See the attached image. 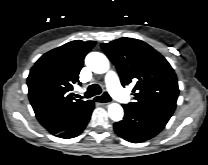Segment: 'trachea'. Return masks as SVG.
Returning a JSON list of instances; mask_svg holds the SVG:
<instances>
[{
    "instance_id": "3493384b",
    "label": "trachea",
    "mask_w": 208,
    "mask_h": 165,
    "mask_svg": "<svg viewBox=\"0 0 208 165\" xmlns=\"http://www.w3.org/2000/svg\"><path fill=\"white\" fill-rule=\"evenodd\" d=\"M101 88L98 84H92L89 86L87 92L84 95V98H90L93 97L95 95H99L101 94ZM78 98H83L80 95H76ZM110 100V97L107 93H104L103 96L100 97H96V102H108Z\"/></svg>"
}]
</instances>
